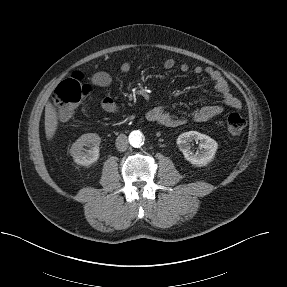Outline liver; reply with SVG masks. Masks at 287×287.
<instances>
[{"mask_svg":"<svg viewBox=\"0 0 287 287\" xmlns=\"http://www.w3.org/2000/svg\"><path fill=\"white\" fill-rule=\"evenodd\" d=\"M58 116L55 108L51 103L45 107V134L47 140H51L57 130Z\"/></svg>","mask_w":287,"mask_h":287,"instance_id":"1","label":"liver"}]
</instances>
